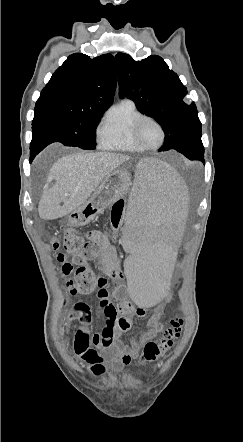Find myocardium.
<instances>
[{"label": "myocardium", "instance_id": "obj_1", "mask_svg": "<svg viewBox=\"0 0 243 442\" xmlns=\"http://www.w3.org/2000/svg\"><path fill=\"white\" fill-rule=\"evenodd\" d=\"M146 121H152L154 122L160 129L161 132V139L159 141V143L155 146H148L146 144L143 143V141L141 140L140 136H139V130L141 125L146 122ZM133 138L134 141L137 143L138 146H140L142 149L144 150H156L159 147H161L163 145V143L165 142L166 139V130L164 125L161 123L160 120H158L156 117L151 116V115H142L140 118H138L133 126Z\"/></svg>", "mask_w": 243, "mask_h": 442}]
</instances>
